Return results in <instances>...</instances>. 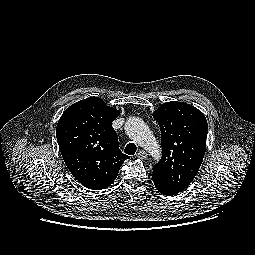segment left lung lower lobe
<instances>
[{"instance_id": "1", "label": "left lung lower lobe", "mask_w": 255, "mask_h": 255, "mask_svg": "<svg viewBox=\"0 0 255 255\" xmlns=\"http://www.w3.org/2000/svg\"><path fill=\"white\" fill-rule=\"evenodd\" d=\"M153 178V182L155 184V187L157 188V190L166 196H173L178 194L181 191H178L177 189L166 185L165 183H163L162 181H160L159 179L152 177Z\"/></svg>"}]
</instances>
